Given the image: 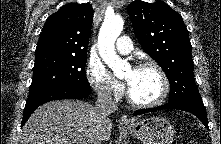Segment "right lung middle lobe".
Returning a JSON list of instances; mask_svg holds the SVG:
<instances>
[{
	"label": "right lung middle lobe",
	"mask_w": 221,
	"mask_h": 144,
	"mask_svg": "<svg viewBox=\"0 0 221 144\" xmlns=\"http://www.w3.org/2000/svg\"><path fill=\"white\" fill-rule=\"evenodd\" d=\"M86 54H36L33 79L26 102L57 87L90 88L85 72Z\"/></svg>",
	"instance_id": "obj_1"
}]
</instances>
